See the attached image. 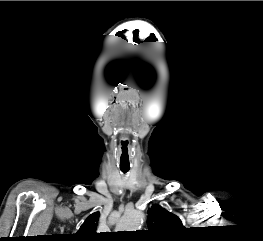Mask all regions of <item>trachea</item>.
Listing matches in <instances>:
<instances>
[{
  "mask_svg": "<svg viewBox=\"0 0 263 241\" xmlns=\"http://www.w3.org/2000/svg\"><path fill=\"white\" fill-rule=\"evenodd\" d=\"M128 168H121V171L123 172V173H127L128 172Z\"/></svg>",
  "mask_w": 263,
  "mask_h": 241,
  "instance_id": "3493384b",
  "label": "trachea"
}]
</instances>
